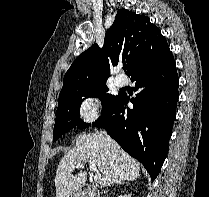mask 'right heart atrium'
<instances>
[{
	"label": "right heart atrium",
	"instance_id": "obj_1",
	"mask_svg": "<svg viewBox=\"0 0 209 197\" xmlns=\"http://www.w3.org/2000/svg\"><path fill=\"white\" fill-rule=\"evenodd\" d=\"M100 111V102L96 97H85L79 105V116L85 121L94 120Z\"/></svg>",
	"mask_w": 209,
	"mask_h": 197
}]
</instances>
